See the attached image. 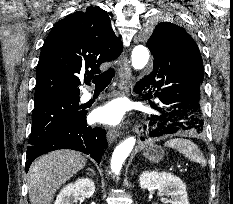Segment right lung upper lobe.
Here are the masks:
<instances>
[{
    "label": "right lung upper lobe",
    "mask_w": 233,
    "mask_h": 204,
    "mask_svg": "<svg viewBox=\"0 0 233 204\" xmlns=\"http://www.w3.org/2000/svg\"><path fill=\"white\" fill-rule=\"evenodd\" d=\"M123 45L107 12L88 7L60 20L47 36L36 71L35 103L49 97L79 96V76L89 84L99 66L117 58Z\"/></svg>",
    "instance_id": "cb5924a9"
}]
</instances>
